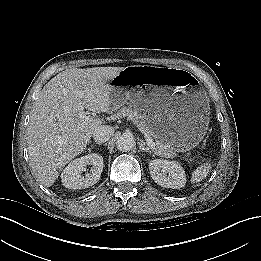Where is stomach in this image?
Masks as SVG:
<instances>
[{"label": "stomach", "instance_id": "stomach-1", "mask_svg": "<svg viewBox=\"0 0 261 261\" xmlns=\"http://www.w3.org/2000/svg\"><path fill=\"white\" fill-rule=\"evenodd\" d=\"M142 74L153 79L150 91L123 84ZM113 80L112 108L129 101L146 117L156 139L170 144L177 152L189 151L201 141L209 123L208 99L190 74L155 66H130Z\"/></svg>", "mask_w": 261, "mask_h": 261}]
</instances>
